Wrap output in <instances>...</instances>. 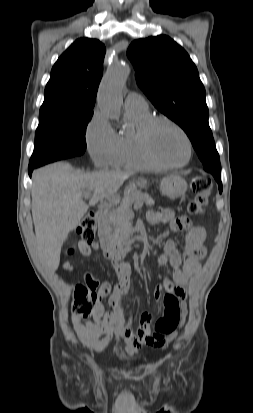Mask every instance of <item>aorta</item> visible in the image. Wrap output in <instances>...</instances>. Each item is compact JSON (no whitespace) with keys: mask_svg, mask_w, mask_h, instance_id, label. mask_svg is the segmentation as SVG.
<instances>
[{"mask_svg":"<svg viewBox=\"0 0 253 413\" xmlns=\"http://www.w3.org/2000/svg\"><path fill=\"white\" fill-rule=\"evenodd\" d=\"M130 68L125 63L113 64L103 77L97 103L101 111L113 119H119L122 107V89L129 76Z\"/></svg>","mask_w":253,"mask_h":413,"instance_id":"1","label":"aorta"}]
</instances>
